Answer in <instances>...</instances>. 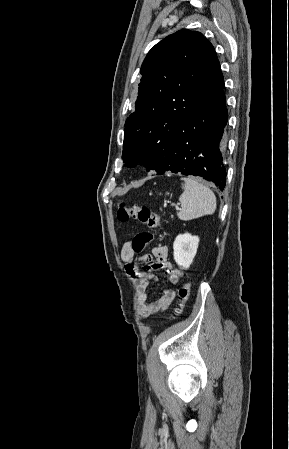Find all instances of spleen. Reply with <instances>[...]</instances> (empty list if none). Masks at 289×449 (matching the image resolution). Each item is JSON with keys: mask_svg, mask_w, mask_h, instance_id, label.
Returning a JSON list of instances; mask_svg holds the SVG:
<instances>
[{"mask_svg": "<svg viewBox=\"0 0 289 449\" xmlns=\"http://www.w3.org/2000/svg\"><path fill=\"white\" fill-rule=\"evenodd\" d=\"M181 181L183 193L179 197V219L188 221L215 212L216 197L209 188L192 178H181Z\"/></svg>", "mask_w": 289, "mask_h": 449, "instance_id": "3e777b00", "label": "spleen"}]
</instances>
